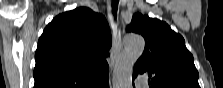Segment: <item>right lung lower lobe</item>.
<instances>
[{
	"label": "right lung lower lobe",
	"instance_id": "obj_1",
	"mask_svg": "<svg viewBox=\"0 0 223 88\" xmlns=\"http://www.w3.org/2000/svg\"><path fill=\"white\" fill-rule=\"evenodd\" d=\"M95 88H108V78L98 82Z\"/></svg>",
	"mask_w": 223,
	"mask_h": 88
}]
</instances>
